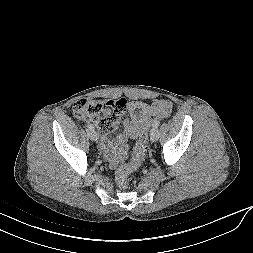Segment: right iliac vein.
<instances>
[{
	"mask_svg": "<svg viewBox=\"0 0 253 253\" xmlns=\"http://www.w3.org/2000/svg\"><path fill=\"white\" fill-rule=\"evenodd\" d=\"M88 136L92 141H97L99 138L97 132L94 130L89 131Z\"/></svg>",
	"mask_w": 253,
	"mask_h": 253,
	"instance_id": "1",
	"label": "right iliac vein"
}]
</instances>
